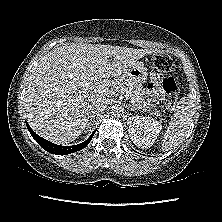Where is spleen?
<instances>
[{"label": "spleen", "instance_id": "spleen-1", "mask_svg": "<svg viewBox=\"0 0 222 222\" xmlns=\"http://www.w3.org/2000/svg\"><path fill=\"white\" fill-rule=\"evenodd\" d=\"M176 112L172 116L169 126L164 133L162 149L171 150L184 141L194 115V100L191 94L183 97L177 104Z\"/></svg>", "mask_w": 222, "mask_h": 222}]
</instances>
